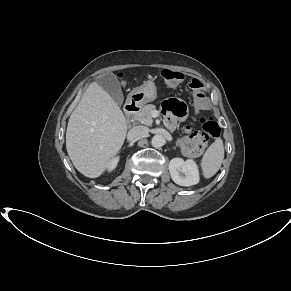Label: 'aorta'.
Segmentation results:
<instances>
[{"instance_id":"762f6f07","label":"aorta","mask_w":291,"mask_h":291,"mask_svg":"<svg viewBox=\"0 0 291 291\" xmlns=\"http://www.w3.org/2000/svg\"><path fill=\"white\" fill-rule=\"evenodd\" d=\"M151 144L155 148L162 147L165 144V138L162 135L157 134L153 136Z\"/></svg>"}]
</instances>
